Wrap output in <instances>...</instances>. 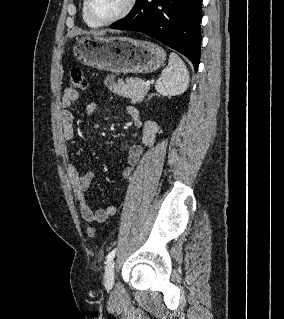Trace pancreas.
Returning a JSON list of instances; mask_svg holds the SVG:
<instances>
[{
	"label": "pancreas",
	"instance_id": "1",
	"mask_svg": "<svg viewBox=\"0 0 284 319\" xmlns=\"http://www.w3.org/2000/svg\"><path fill=\"white\" fill-rule=\"evenodd\" d=\"M105 84L109 86V90L113 93L130 98L134 102L141 103L149 91V86L143 84V80L140 78H126L119 79L117 83L113 81V77L110 76L105 80Z\"/></svg>",
	"mask_w": 284,
	"mask_h": 319
}]
</instances>
